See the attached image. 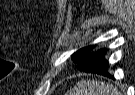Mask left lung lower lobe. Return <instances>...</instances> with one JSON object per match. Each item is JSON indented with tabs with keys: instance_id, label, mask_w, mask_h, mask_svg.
<instances>
[{
	"instance_id": "obj_1",
	"label": "left lung lower lobe",
	"mask_w": 135,
	"mask_h": 95,
	"mask_svg": "<svg viewBox=\"0 0 135 95\" xmlns=\"http://www.w3.org/2000/svg\"><path fill=\"white\" fill-rule=\"evenodd\" d=\"M105 53V49H100L97 52L92 53L85 62V65L79 70L114 78L108 73V61L104 59Z\"/></svg>"
}]
</instances>
